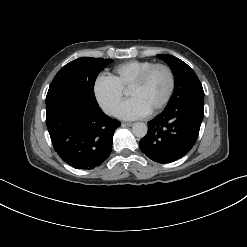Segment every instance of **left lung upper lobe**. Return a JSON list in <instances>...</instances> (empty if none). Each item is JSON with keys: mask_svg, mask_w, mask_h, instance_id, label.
I'll use <instances>...</instances> for the list:
<instances>
[{"mask_svg": "<svg viewBox=\"0 0 247 247\" xmlns=\"http://www.w3.org/2000/svg\"><path fill=\"white\" fill-rule=\"evenodd\" d=\"M157 56L168 64L175 76L174 92L166 107H171L188 97H204L202 85L191 67L172 55L159 54Z\"/></svg>", "mask_w": 247, "mask_h": 247, "instance_id": "left-lung-upper-lobe-1", "label": "left lung upper lobe"}]
</instances>
